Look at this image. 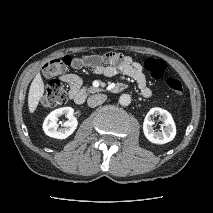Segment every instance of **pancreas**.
<instances>
[{
  "label": "pancreas",
  "mask_w": 213,
  "mask_h": 213,
  "mask_svg": "<svg viewBox=\"0 0 213 213\" xmlns=\"http://www.w3.org/2000/svg\"><path fill=\"white\" fill-rule=\"evenodd\" d=\"M86 90H89L90 92H96V91H98L99 89L90 87V88H86Z\"/></svg>",
  "instance_id": "pancreas-1"
}]
</instances>
